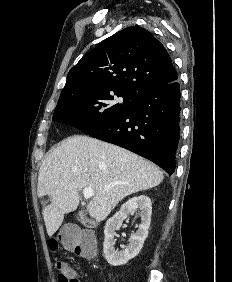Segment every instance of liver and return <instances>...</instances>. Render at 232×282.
<instances>
[{"mask_svg":"<svg viewBox=\"0 0 232 282\" xmlns=\"http://www.w3.org/2000/svg\"><path fill=\"white\" fill-rule=\"evenodd\" d=\"M163 178L154 164L124 148L84 135L68 137L39 170L38 197L50 201H41L47 233L52 236L64 215L76 210L81 189H93L87 210L102 221L126 196L155 187Z\"/></svg>","mask_w":232,"mask_h":282,"instance_id":"liver-1","label":"liver"}]
</instances>
